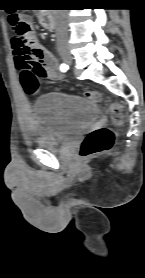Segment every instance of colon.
Listing matches in <instances>:
<instances>
[{
  "instance_id": "colon-1",
  "label": "colon",
  "mask_w": 145,
  "mask_h": 278,
  "mask_svg": "<svg viewBox=\"0 0 145 278\" xmlns=\"http://www.w3.org/2000/svg\"><path fill=\"white\" fill-rule=\"evenodd\" d=\"M8 24L15 34L20 38L21 44L28 48L32 31L27 22L21 19L17 14H11L8 17ZM38 78L33 76L30 78V84L26 86V92L29 95H33L38 91ZM86 96L99 102L102 100V96L99 93L88 92ZM108 110L112 116V120L115 124H121L124 121V114L122 109L116 104H110ZM115 140V133L109 127L96 128L88 132L83 138L80 146V156L82 159H90L97 154L104 152L113 145Z\"/></svg>"
}]
</instances>
